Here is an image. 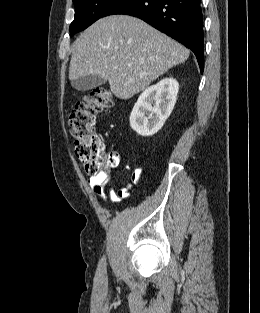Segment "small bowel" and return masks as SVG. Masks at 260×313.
Masks as SVG:
<instances>
[{"instance_id":"small-bowel-1","label":"small bowel","mask_w":260,"mask_h":313,"mask_svg":"<svg viewBox=\"0 0 260 313\" xmlns=\"http://www.w3.org/2000/svg\"><path fill=\"white\" fill-rule=\"evenodd\" d=\"M118 164L119 159L117 157L116 166H118ZM121 168H125V166H121ZM109 175L110 173L90 176L87 179V183L101 201L105 202L108 196L115 205H120L122 200L128 198L130 187L139 181L141 177V170L135 169L132 172L130 179L128 180L126 185L120 189H116L113 186L107 188V185L109 183Z\"/></svg>"}]
</instances>
